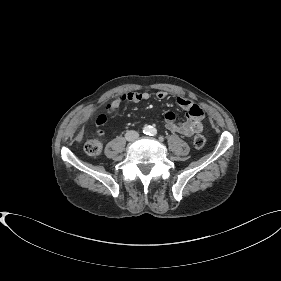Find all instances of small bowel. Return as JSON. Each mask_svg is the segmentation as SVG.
I'll return each mask as SVG.
<instances>
[{
  "instance_id": "obj_1",
  "label": "small bowel",
  "mask_w": 281,
  "mask_h": 281,
  "mask_svg": "<svg viewBox=\"0 0 281 281\" xmlns=\"http://www.w3.org/2000/svg\"><path fill=\"white\" fill-rule=\"evenodd\" d=\"M150 97L151 95L147 91L123 93L113 101L107 103L105 110L111 114L126 101L136 103L144 102L149 100ZM156 98L158 100H165L167 98V93L164 91H158L156 93ZM176 104L186 111L188 118L186 121H177L176 115L173 112H166L164 115L166 129L186 137H191L194 134L200 133L204 128L203 109L185 97H177Z\"/></svg>"
}]
</instances>
